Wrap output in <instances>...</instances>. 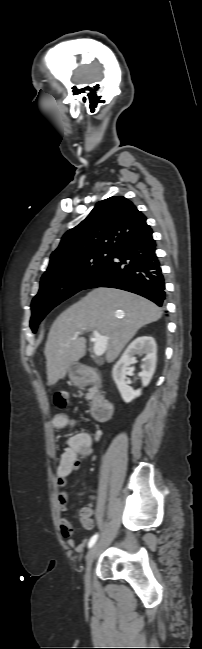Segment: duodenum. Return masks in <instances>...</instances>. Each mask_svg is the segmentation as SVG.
<instances>
[{"instance_id": "obj_1", "label": "duodenum", "mask_w": 202, "mask_h": 649, "mask_svg": "<svg viewBox=\"0 0 202 649\" xmlns=\"http://www.w3.org/2000/svg\"><path fill=\"white\" fill-rule=\"evenodd\" d=\"M80 382L86 384H99L100 376L98 372L90 366H82L77 374ZM113 413V403L107 397L97 398L92 406L93 416L100 421H107Z\"/></svg>"}]
</instances>
